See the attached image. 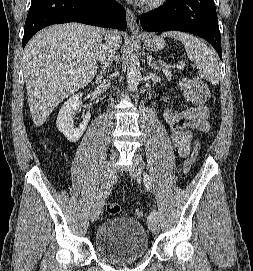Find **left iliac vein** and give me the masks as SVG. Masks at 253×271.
Returning <instances> with one entry per match:
<instances>
[{
  "mask_svg": "<svg viewBox=\"0 0 253 271\" xmlns=\"http://www.w3.org/2000/svg\"><path fill=\"white\" fill-rule=\"evenodd\" d=\"M143 167L142 159L139 155L135 156V164L129 167V174L131 177L141 179V168ZM148 227L152 233L158 234L160 230L159 222L156 217L150 215L148 217Z\"/></svg>",
  "mask_w": 253,
  "mask_h": 271,
  "instance_id": "left-iliac-vein-1",
  "label": "left iliac vein"
}]
</instances>
